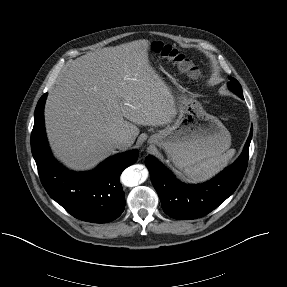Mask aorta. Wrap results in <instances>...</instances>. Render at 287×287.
<instances>
[{"instance_id": "762f6f07", "label": "aorta", "mask_w": 287, "mask_h": 287, "mask_svg": "<svg viewBox=\"0 0 287 287\" xmlns=\"http://www.w3.org/2000/svg\"><path fill=\"white\" fill-rule=\"evenodd\" d=\"M142 178V173L135 166L128 167L121 174V182L127 187L137 186Z\"/></svg>"}]
</instances>
